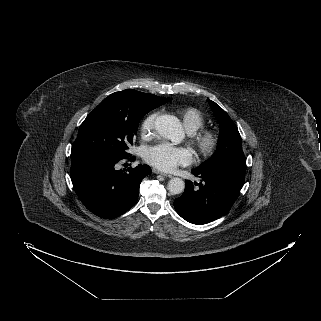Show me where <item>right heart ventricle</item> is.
<instances>
[{
	"label": "right heart ventricle",
	"instance_id": "1",
	"mask_svg": "<svg viewBox=\"0 0 321 321\" xmlns=\"http://www.w3.org/2000/svg\"><path fill=\"white\" fill-rule=\"evenodd\" d=\"M180 117L182 119L183 125L185 129L190 133L193 134L201 129L205 123L206 118L203 113L194 107H186L182 109L180 112Z\"/></svg>",
	"mask_w": 321,
	"mask_h": 321
}]
</instances>
